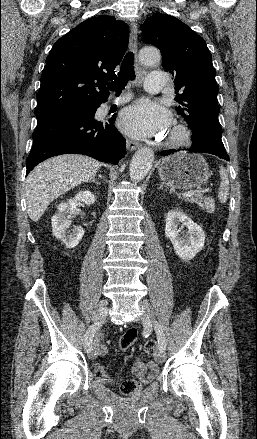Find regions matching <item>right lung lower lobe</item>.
I'll use <instances>...</instances> for the list:
<instances>
[{
  "mask_svg": "<svg viewBox=\"0 0 257 439\" xmlns=\"http://www.w3.org/2000/svg\"><path fill=\"white\" fill-rule=\"evenodd\" d=\"M99 106L38 118L32 150L26 161V175L45 159L68 153L117 164L126 154V140L114 126L115 116L102 121L94 119Z\"/></svg>",
  "mask_w": 257,
  "mask_h": 439,
  "instance_id": "1",
  "label": "right lung lower lobe"
}]
</instances>
